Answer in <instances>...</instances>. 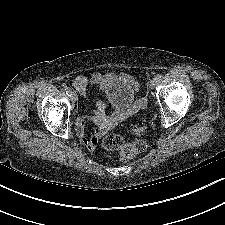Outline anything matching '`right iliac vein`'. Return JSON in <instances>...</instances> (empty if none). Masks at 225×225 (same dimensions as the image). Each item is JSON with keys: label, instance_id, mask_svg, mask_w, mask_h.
Masks as SVG:
<instances>
[{"label": "right iliac vein", "instance_id": "obj_1", "mask_svg": "<svg viewBox=\"0 0 225 225\" xmlns=\"http://www.w3.org/2000/svg\"><path fill=\"white\" fill-rule=\"evenodd\" d=\"M70 99L72 102H76L78 100V96L75 92H72L70 95Z\"/></svg>", "mask_w": 225, "mask_h": 225}]
</instances>
